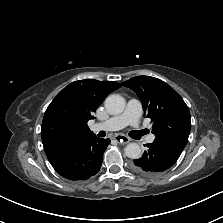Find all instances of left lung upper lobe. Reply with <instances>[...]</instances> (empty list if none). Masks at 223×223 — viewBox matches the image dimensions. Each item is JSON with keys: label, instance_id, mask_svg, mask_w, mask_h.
Listing matches in <instances>:
<instances>
[{"label": "left lung upper lobe", "instance_id": "obj_1", "mask_svg": "<svg viewBox=\"0 0 223 223\" xmlns=\"http://www.w3.org/2000/svg\"><path fill=\"white\" fill-rule=\"evenodd\" d=\"M136 92L153 123L155 140H166L185 147L191 122L182 97L164 81L149 76L133 77L122 83Z\"/></svg>", "mask_w": 223, "mask_h": 223}]
</instances>
